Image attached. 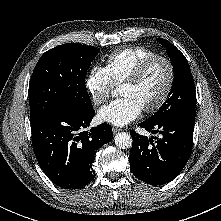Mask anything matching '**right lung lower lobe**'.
<instances>
[{"label": "right lung lower lobe", "mask_w": 221, "mask_h": 221, "mask_svg": "<svg viewBox=\"0 0 221 221\" xmlns=\"http://www.w3.org/2000/svg\"><path fill=\"white\" fill-rule=\"evenodd\" d=\"M94 109L72 112L52 109L31 121L33 150L46 176L65 189H79L90 183L96 151L112 140L107 123L87 128Z\"/></svg>", "instance_id": "1"}]
</instances>
